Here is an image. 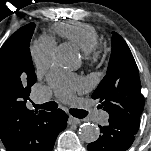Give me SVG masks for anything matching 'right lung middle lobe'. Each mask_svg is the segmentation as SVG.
<instances>
[{
    "label": "right lung middle lobe",
    "instance_id": "dd1d6c3e",
    "mask_svg": "<svg viewBox=\"0 0 151 151\" xmlns=\"http://www.w3.org/2000/svg\"><path fill=\"white\" fill-rule=\"evenodd\" d=\"M35 24L18 29L0 49V90L31 87L36 75L30 54V40Z\"/></svg>",
    "mask_w": 151,
    "mask_h": 151
}]
</instances>
